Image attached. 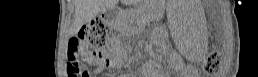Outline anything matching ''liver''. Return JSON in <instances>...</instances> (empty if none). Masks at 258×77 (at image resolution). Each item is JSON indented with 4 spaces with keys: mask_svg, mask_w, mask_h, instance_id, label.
<instances>
[{
    "mask_svg": "<svg viewBox=\"0 0 258 77\" xmlns=\"http://www.w3.org/2000/svg\"><path fill=\"white\" fill-rule=\"evenodd\" d=\"M118 0H75V22L73 32L77 33L80 28L95 18L100 12L113 8Z\"/></svg>",
    "mask_w": 258,
    "mask_h": 77,
    "instance_id": "obj_1",
    "label": "liver"
}]
</instances>
